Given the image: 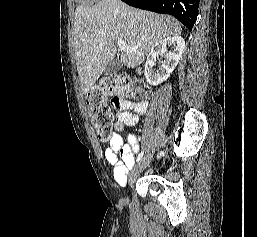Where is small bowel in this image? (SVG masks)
<instances>
[{
    "mask_svg": "<svg viewBox=\"0 0 257 237\" xmlns=\"http://www.w3.org/2000/svg\"><path fill=\"white\" fill-rule=\"evenodd\" d=\"M117 109L116 121L114 123L115 133H113L108 146L104 150L107 162L112 166L113 176L116 183L125 185L127 175L135 163V154L139 151L137 138L129 134L126 141L119 134L127 126H135L140 117L148 109L146 100L135 102L122 101L113 105Z\"/></svg>",
    "mask_w": 257,
    "mask_h": 237,
    "instance_id": "1",
    "label": "small bowel"
}]
</instances>
